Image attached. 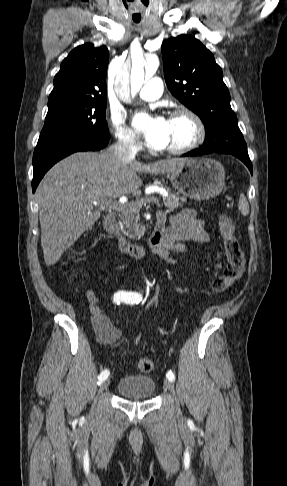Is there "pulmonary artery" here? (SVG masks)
Instances as JSON below:
<instances>
[{
    "label": "pulmonary artery",
    "instance_id": "pulmonary-artery-1",
    "mask_svg": "<svg viewBox=\"0 0 287 486\" xmlns=\"http://www.w3.org/2000/svg\"><path fill=\"white\" fill-rule=\"evenodd\" d=\"M162 94V82L159 78H152L139 91V97L146 101H154Z\"/></svg>",
    "mask_w": 287,
    "mask_h": 486
}]
</instances>
